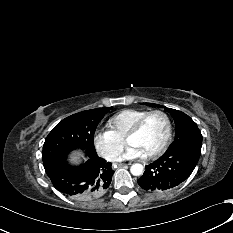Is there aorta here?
I'll use <instances>...</instances> for the list:
<instances>
[{"instance_id":"obj_1","label":"aorta","mask_w":233,"mask_h":233,"mask_svg":"<svg viewBox=\"0 0 233 233\" xmlns=\"http://www.w3.org/2000/svg\"><path fill=\"white\" fill-rule=\"evenodd\" d=\"M130 172L134 176H140L143 173V166L141 164H133L130 168Z\"/></svg>"}]
</instances>
